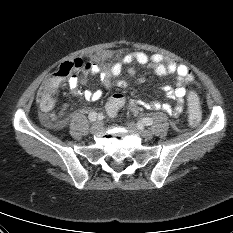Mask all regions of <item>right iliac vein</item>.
Wrapping results in <instances>:
<instances>
[{
    "label": "right iliac vein",
    "instance_id": "right-iliac-vein-1",
    "mask_svg": "<svg viewBox=\"0 0 233 233\" xmlns=\"http://www.w3.org/2000/svg\"><path fill=\"white\" fill-rule=\"evenodd\" d=\"M102 127V123L97 121V122H94L90 128V131L92 133H95L96 131H98L100 128Z\"/></svg>",
    "mask_w": 233,
    "mask_h": 233
}]
</instances>
